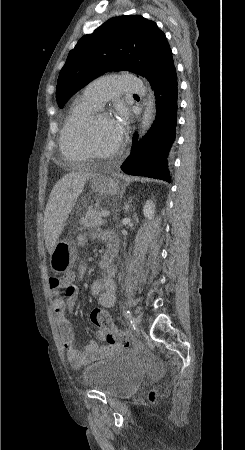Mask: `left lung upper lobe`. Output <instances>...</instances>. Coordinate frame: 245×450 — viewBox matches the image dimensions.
<instances>
[{
    "label": "left lung upper lobe",
    "instance_id": "left-lung-upper-lobe-1",
    "mask_svg": "<svg viewBox=\"0 0 245 450\" xmlns=\"http://www.w3.org/2000/svg\"><path fill=\"white\" fill-rule=\"evenodd\" d=\"M171 59L166 36L155 22L140 15L113 17L69 52L58 77V106L105 72L127 70L149 79Z\"/></svg>",
    "mask_w": 245,
    "mask_h": 450
}]
</instances>
